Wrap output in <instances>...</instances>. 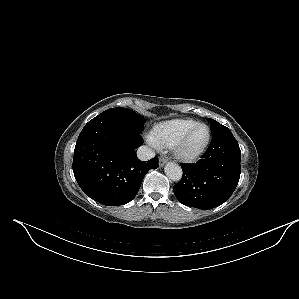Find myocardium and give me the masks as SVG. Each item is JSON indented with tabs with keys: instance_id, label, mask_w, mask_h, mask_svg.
<instances>
[{
	"instance_id": "1",
	"label": "myocardium",
	"mask_w": 299,
	"mask_h": 299,
	"mask_svg": "<svg viewBox=\"0 0 299 299\" xmlns=\"http://www.w3.org/2000/svg\"><path fill=\"white\" fill-rule=\"evenodd\" d=\"M198 127H204L206 129V131H207L206 140L204 141L202 146L200 148H198L197 150L188 151L186 149L187 141H188L190 135L193 133V131ZM210 142H211V130H210L209 126L204 123H196L191 128H189L173 145V152H174V155L179 160L184 161V162H191V161L198 159L205 153V151L209 147Z\"/></svg>"
}]
</instances>
